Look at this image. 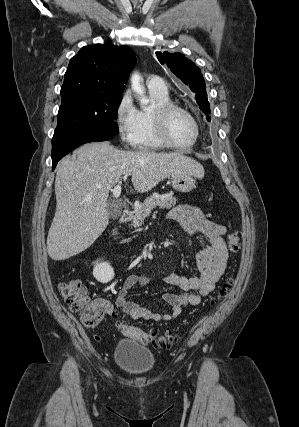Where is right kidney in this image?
<instances>
[{
  "label": "right kidney",
  "instance_id": "obj_1",
  "mask_svg": "<svg viewBox=\"0 0 299 427\" xmlns=\"http://www.w3.org/2000/svg\"><path fill=\"white\" fill-rule=\"evenodd\" d=\"M93 276L98 282L108 283L114 278V270L108 262H96L93 268Z\"/></svg>",
  "mask_w": 299,
  "mask_h": 427
}]
</instances>
